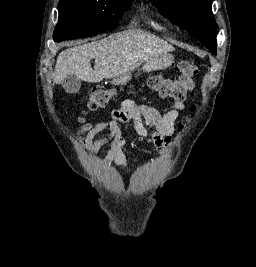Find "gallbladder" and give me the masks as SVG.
I'll use <instances>...</instances> for the list:
<instances>
[{"mask_svg":"<svg viewBox=\"0 0 256 267\" xmlns=\"http://www.w3.org/2000/svg\"><path fill=\"white\" fill-rule=\"evenodd\" d=\"M62 86L68 94H78L81 88V80L77 76H67L62 82Z\"/></svg>","mask_w":256,"mask_h":267,"instance_id":"obj_1","label":"gallbladder"}]
</instances>
